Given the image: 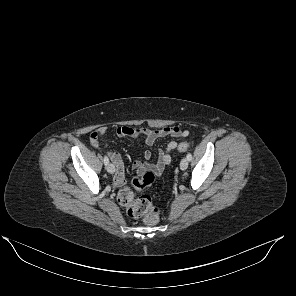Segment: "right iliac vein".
I'll return each instance as SVG.
<instances>
[{
    "label": "right iliac vein",
    "instance_id": "obj_1",
    "mask_svg": "<svg viewBox=\"0 0 296 296\" xmlns=\"http://www.w3.org/2000/svg\"><path fill=\"white\" fill-rule=\"evenodd\" d=\"M107 171L110 173V174H113L115 172V166L110 163L107 165Z\"/></svg>",
    "mask_w": 296,
    "mask_h": 296
}]
</instances>
